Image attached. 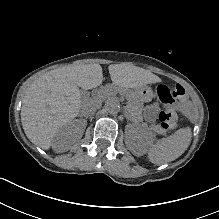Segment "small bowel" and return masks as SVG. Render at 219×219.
<instances>
[{
  "instance_id": "small-bowel-1",
  "label": "small bowel",
  "mask_w": 219,
  "mask_h": 219,
  "mask_svg": "<svg viewBox=\"0 0 219 219\" xmlns=\"http://www.w3.org/2000/svg\"><path fill=\"white\" fill-rule=\"evenodd\" d=\"M156 94L158 102L148 105L145 108L144 113L147 120L154 121L156 119L160 106L179 110L187 117H193L195 115L196 110L193 103L188 98L176 102L167 86H158Z\"/></svg>"
}]
</instances>
